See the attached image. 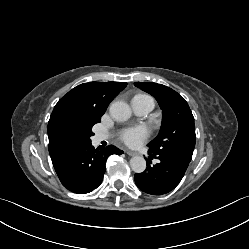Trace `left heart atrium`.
Wrapping results in <instances>:
<instances>
[{"label":"left heart atrium","mask_w":249,"mask_h":249,"mask_svg":"<svg viewBox=\"0 0 249 249\" xmlns=\"http://www.w3.org/2000/svg\"><path fill=\"white\" fill-rule=\"evenodd\" d=\"M148 137V130L143 126L126 128L121 131L119 138L129 146H138Z\"/></svg>","instance_id":"39dd6f15"}]
</instances>
